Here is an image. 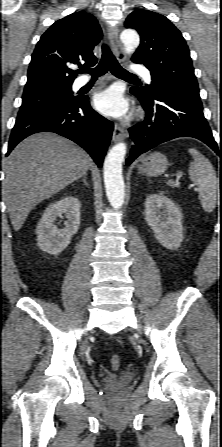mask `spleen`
<instances>
[{
  "mask_svg": "<svg viewBox=\"0 0 222 447\" xmlns=\"http://www.w3.org/2000/svg\"><path fill=\"white\" fill-rule=\"evenodd\" d=\"M188 152L193 157L189 165V175L192 181L198 184L199 200L203 209L212 212L216 206L219 180L211 162L196 149H189ZM169 186L175 187L176 182L169 180Z\"/></svg>",
  "mask_w": 222,
  "mask_h": 447,
  "instance_id": "1",
  "label": "spleen"
}]
</instances>
